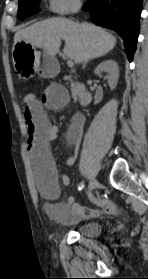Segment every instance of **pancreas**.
Masks as SVG:
<instances>
[{
	"mask_svg": "<svg viewBox=\"0 0 148 279\" xmlns=\"http://www.w3.org/2000/svg\"><path fill=\"white\" fill-rule=\"evenodd\" d=\"M64 80H70L71 81V91H72V97L76 100L77 99V95L79 94V84L74 81L71 80V77L70 76H66L64 77Z\"/></svg>",
	"mask_w": 148,
	"mask_h": 279,
	"instance_id": "cf45deb5",
	"label": "pancreas"
}]
</instances>
